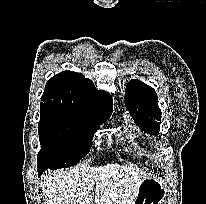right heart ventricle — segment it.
I'll return each instance as SVG.
<instances>
[{"label":"right heart ventricle","instance_id":"e07e8e85","mask_svg":"<svg viewBox=\"0 0 206 204\" xmlns=\"http://www.w3.org/2000/svg\"><path fill=\"white\" fill-rule=\"evenodd\" d=\"M125 124H126L128 131H129V136H130L132 144H135V145L140 144L143 147H148V145L146 144L145 141H141L138 138L135 127L131 124V122L128 119H125Z\"/></svg>","mask_w":206,"mask_h":204}]
</instances>
